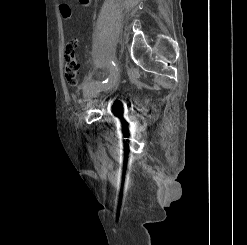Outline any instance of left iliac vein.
Listing matches in <instances>:
<instances>
[{
    "label": "left iliac vein",
    "instance_id": "1",
    "mask_svg": "<svg viewBox=\"0 0 247 245\" xmlns=\"http://www.w3.org/2000/svg\"><path fill=\"white\" fill-rule=\"evenodd\" d=\"M119 78H120V72L119 70H117L107 85L100 86V85L94 84V85L89 86L85 92V98L87 100H91L92 98L96 97L101 91L112 89L118 83Z\"/></svg>",
    "mask_w": 247,
    "mask_h": 245
}]
</instances>
